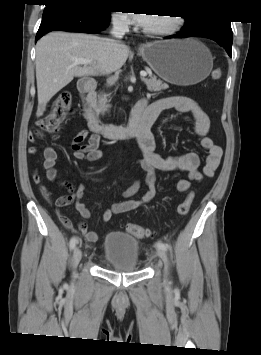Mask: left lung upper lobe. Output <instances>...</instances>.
<instances>
[{
  "instance_id": "obj_1",
  "label": "left lung upper lobe",
  "mask_w": 261,
  "mask_h": 355,
  "mask_svg": "<svg viewBox=\"0 0 261 355\" xmlns=\"http://www.w3.org/2000/svg\"><path fill=\"white\" fill-rule=\"evenodd\" d=\"M208 18H188L186 17V25L184 26L187 29H197L199 28L204 22L208 21Z\"/></svg>"
}]
</instances>
